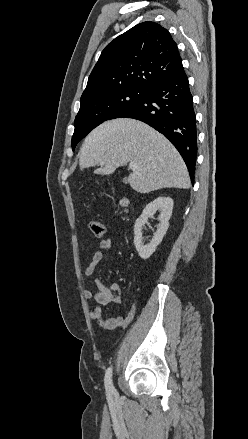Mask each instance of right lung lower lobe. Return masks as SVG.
<instances>
[{"label":"right lung lower lobe","instance_id":"obj_1","mask_svg":"<svg viewBox=\"0 0 248 439\" xmlns=\"http://www.w3.org/2000/svg\"><path fill=\"white\" fill-rule=\"evenodd\" d=\"M118 118L143 121L169 139L180 152L194 184L196 115L184 69L149 87L143 97Z\"/></svg>","mask_w":248,"mask_h":439}]
</instances>
